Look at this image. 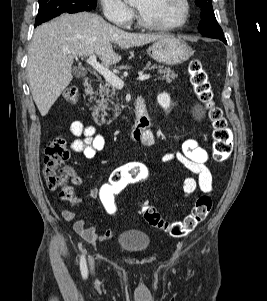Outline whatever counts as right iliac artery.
I'll return each instance as SVG.
<instances>
[{"instance_id": "82829eb1", "label": "right iliac artery", "mask_w": 267, "mask_h": 301, "mask_svg": "<svg viewBox=\"0 0 267 301\" xmlns=\"http://www.w3.org/2000/svg\"><path fill=\"white\" fill-rule=\"evenodd\" d=\"M80 270H81L82 277L86 279L88 276V269H87L86 259L84 255H81L80 258Z\"/></svg>"}]
</instances>
